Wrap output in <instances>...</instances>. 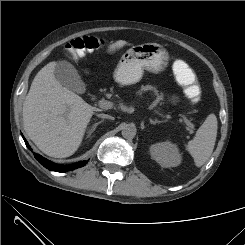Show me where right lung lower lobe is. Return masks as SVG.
<instances>
[{
    "mask_svg": "<svg viewBox=\"0 0 245 245\" xmlns=\"http://www.w3.org/2000/svg\"><path fill=\"white\" fill-rule=\"evenodd\" d=\"M25 144L27 145V147L31 149V147L29 146L28 142L26 141V139L24 138V136H22ZM35 158L47 169H49L50 171H57V172H66V171H70V170H74L80 167H83L87 161H80L74 164H69V165H61V164H57V163H53L52 161H49L47 159H45L44 157H42L39 154H35Z\"/></svg>",
    "mask_w": 245,
    "mask_h": 245,
    "instance_id": "right-lung-lower-lobe-1",
    "label": "right lung lower lobe"
}]
</instances>
